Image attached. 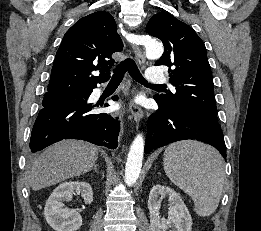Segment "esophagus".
<instances>
[{
  "mask_svg": "<svg viewBox=\"0 0 261 231\" xmlns=\"http://www.w3.org/2000/svg\"><path fill=\"white\" fill-rule=\"evenodd\" d=\"M136 36L133 35L132 38L130 39L131 46L133 48L134 54L136 61L139 65H143L145 62V57L144 54L142 53L140 47L138 46L136 42ZM129 110L131 112L132 117L136 122H140L141 119L143 118V110L140 106L135 104L132 100L130 101L129 104Z\"/></svg>",
  "mask_w": 261,
  "mask_h": 231,
  "instance_id": "1",
  "label": "esophagus"
}]
</instances>
